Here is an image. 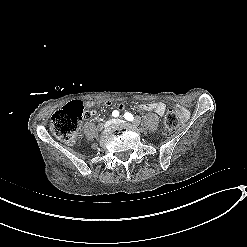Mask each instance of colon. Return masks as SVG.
I'll return each mask as SVG.
<instances>
[{
	"mask_svg": "<svg viewBox=\"0 0 247 247\" xmlns=\"http://www.w3.org/2000/svg\"><path fill=\"white\" fill-rule=\"evenodd\" d=\"M126 101L133 102V99L126 98ZM119 102H124V99H119ZM111 103H118V100L108 101V104ZM103 105H107V102H103ZM96 107H100V104H96ZM85 119L86 113L83 102L80 99H73L69 105L64 106L54 114L51 124L52 131L63 141H73ZM177 126V113L175 110L169 109L165 114L166 131L172 133Z\"/></svg>",
	"mask_w": 247,
	"mask_h": 247,
	"instance_id": "5ec220e1",
	"label": "colon"
}]
</instances>
